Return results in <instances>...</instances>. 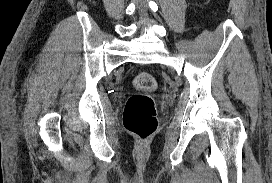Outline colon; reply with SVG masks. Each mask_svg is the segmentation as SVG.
Returning <instances> with one entry per match:
<instances>
[{
    "instance_id": "1",
    "label": "colon",
    "mask_w": 272,
    "mask_h": 183,
    "mask_svg": "<svg viewBox=\"0 0 272 183\" xmlns=\"http://www.w3.org/2000/svg\"><path fill=\"white\" fill-rule=\"evenodd\" d=\"M138 91L126 103L123 123L126 130L140 140L150 138L157 128V110L151 93L157 89V80L149 72H140L133 79Z\"/></svg>"
}]
</instances>
